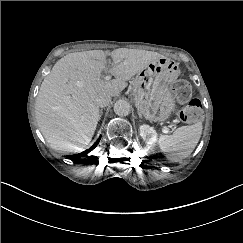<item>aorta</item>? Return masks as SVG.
I'll use <instances>...</instances> for the list:
<instances>
[{"mask_svg":"<svg viewBox=\"0 0 243 243\" xmlns=\"http://www.w3.org/2000/svg\"><path fill=\"white\" fill-rule=\"evenodd\" d=\"M130 104L126 100H119L115 103L114 110L119 116H126L130 112Z\"/></svg>","mask_w":243,"mask_h":243,"instance_id":"762f6f07","label":"aorta"}]
</instances>
